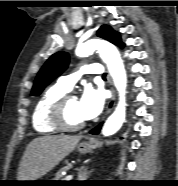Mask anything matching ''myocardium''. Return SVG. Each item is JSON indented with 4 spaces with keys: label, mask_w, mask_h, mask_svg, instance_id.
Returning a JSON list of instances; mask_svg holds the SVG:
<instances>
[{
    "label": "myocardium",
    "mask_w": 178,
    "mask_h": 186,
    "mask_svg": "<svg viewBox=\"0 0 178 186\" xmlns=\"http://www.w3.org/2000/svg\"><path fill=\"white\" fill-rule=\"evenodd\" d=\"M74 97L71 93H65L59 97L50 107L49 120L58 130L73 132L83 129L86 126V122L79 124H70L66 120V107L68 101Z\"/></svg>",
    "instance_id": "obj_1"
}]
</instances>
